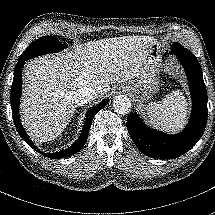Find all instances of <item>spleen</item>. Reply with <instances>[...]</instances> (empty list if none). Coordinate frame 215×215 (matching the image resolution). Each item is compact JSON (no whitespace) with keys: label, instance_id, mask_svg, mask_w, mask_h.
<instances>
[{"label":"spleen","instance_id":"obj_1","mask_svg":"<svg viewBox=\"0 0 215 215\" xmlns=\"http://www.w3.org/2000/svg\"><path fill=\"white\" fill-rule=\"evenodd\" d=\"M147 110L148 118L153 125L175 132L185 124L187 102L179 91H175L162 100L149 103Z\"/></svg>","mask_w":215,"mask_h":215}]
</instances>
